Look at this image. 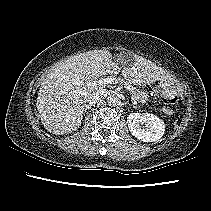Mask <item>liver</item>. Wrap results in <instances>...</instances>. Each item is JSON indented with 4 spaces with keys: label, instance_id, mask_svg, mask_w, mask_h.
Wrapping results in <instances>:
<instances>
[{
    "label": "liver",
    "instance_id": "1",
    "mask_svg": "<svg viewBox=\"0 0 211 211\" xmlns=\"http://www.w3.org/2000/svg\"><path fill=\"white\" fill-rule=\"evenodd\" d=\"M125 61L112 60L106 49L92 50L69 57L60 62L47 74L38 91L37 110L44 128L54 134H68L81 125L86 99L101 86H89L101 76L115 75L119 64L124 67L122 75L130 82L144 85L169 79L170 76L159 66L142 57L128 54Z\"/></svg>",
    "mask_w": 211,
    "mask_h": 211
}]
</instances>
